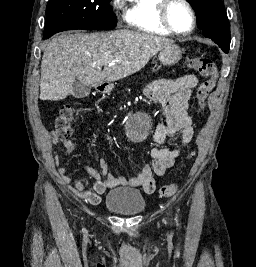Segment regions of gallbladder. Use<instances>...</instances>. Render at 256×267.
I'll return each instance as SVG.
<instances>
[{
	"label": "gallbladder",
	"mask_w": 256,
	"mask_h": 267,
	"mask_svg": "<svg viewBox=\"0 0 256 267\" xmlns=\"http://www.w3.org/2000/svg\"><path fill=\"white\" fill-rule=\"evenodd\" d=\"M91 92V86H85L82 82H75L73 86L74 98H86Z\"/></svg>",
	"instance_id": "bac80fb5"
}]
</instances>
